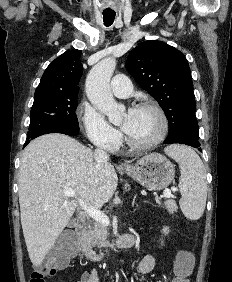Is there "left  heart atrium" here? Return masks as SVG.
I'll use <instances>...</instances> for the list:
<instances>
[{"mask_svg":"<svg viewBox=\"0 0 232 282\" xmlns=\"http://www.w3.org/2000/svg\"><path fill=\"white\" fill-rule=\"evenodd\" d=\"M136 112H137V109L136 108H130L125 116V119H124V122H123V125H122V129L124 132H128L132 123H133V120L136 116Z\"/></svg>","mask_w":232,"mask_h":282,"instance_id":"1","label":"left heart atrium"}]
</instances>
